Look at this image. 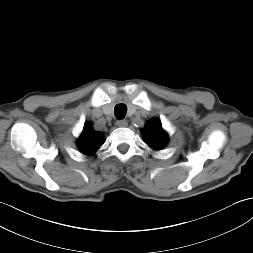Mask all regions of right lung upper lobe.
I'll list each match as a JSON object with an SVG mask.
<instances>
[{"instance_id": "right-lung-upper-lobe-1", "label": "right lung upper lobe", "mask_w": 253, "mask_h": 253, "mask_svg": "<svg viewBox=\"0 0 253 253\" xmlns=\"http://www.w3.org/2000/svg\"><path fill=\"white\" fill-rule=\"evenodd\" d=\"M104 140V135L94 131L93 127L87 123L77 144L82 153L93 154L104 143Z\"/></svg>"}]
</instances>
